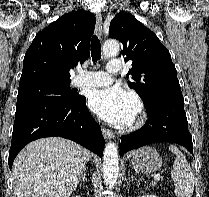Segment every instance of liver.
<instances>
[{
    "mask_svg": "<svg viewBox=\"0 0 209 197\" xmlns=\"http://www.w3.org/2000/svg\"><path fill=\"white\" fill-rule=\"evenodd\" d=\"M90 153L61 137L29 143L16 157L12 178L17 197H70Z\"/></svg>",
    "mask_w": 209,
    "mask_h": 197,
    "instance_id": "1",
    "label": "liver"
}]
</instances>
